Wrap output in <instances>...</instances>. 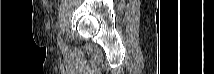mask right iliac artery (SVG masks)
I'll return each instance as SVG.
<instances>
[{
	"label": "right iliac artery",
	"instance_id": "82829eb1",
	"mask_svg": "<svg viewBox=\"0 0 214 74\" xmlns=\"http://www.w3.org/2000/svg\"><path fill=\"white\" fill-rule=\"evenodd\" d=\"M59 45L62 47V48H64V44H63V42H62V40H61V37H60V34H59Z\"/></svg>",
	"mask_w": 214,
	"mask_h": 74
}]
</instances>
